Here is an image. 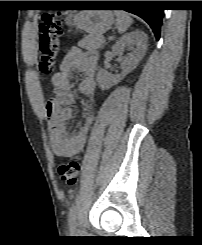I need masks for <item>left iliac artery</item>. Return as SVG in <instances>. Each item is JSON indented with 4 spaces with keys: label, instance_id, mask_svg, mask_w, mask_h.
<instances>
[{
    "label": "left iliac artery",
    "instance_id": "1",
    "mask_svg": "<svg viewBox=\"0 0 202 245\" xmlns=\"http://www.w3.org/2000/svg\"><path fill=\"white\" fill-rule=\"evenodd\" d=\"M75 220H76V206L72 204L68 212V223L71 230L74 229Z\"/></svg>",
    "mask_w": 202,
    "mask_h": 245
}]
</instances>
